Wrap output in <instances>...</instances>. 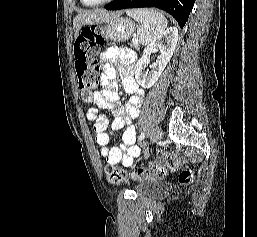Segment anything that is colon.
Masks as SVG:
<instances>
[{
  "label": "colon",
  "mask_w": 257,
  "mask_h": 237,
  "mask_svg": "<svg viewBox=\"0 0 257 237\" xmlns=\"http://www.w3.org/2000/svg\"><path fill=\"white\" fill-rule=\"evenodd\" d=\"M104 38L97 28L86 27L74 42L75 68L78 79V87L84 99L88 100L96 87L99 79V65L97 54L99 48L104 45ZM179 165V159L175 154H161L160 162H153L148 167L140 168L132 174L135 180L161 179L167 170H174ZM105 176L109 183L121 185L127 182V173L114 165L105 167ZM194 173L191 170H183L179 175V182L188 185L192 182Z\"/></svg>",
  "instance_id": "5ec220e1"
}]
</instances>
